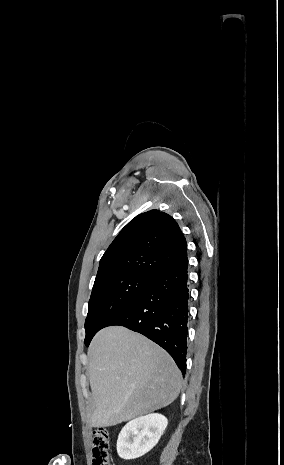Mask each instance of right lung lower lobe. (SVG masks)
I'll list each match as a JSON object with an SVG mask.
<instances>
[{"label": "right lung lower lobe", "mask_w": 284, "mask_h": 465, "mask_svg": "<svg viewBox=\"0 0 284 465\" xmlns=\"http://www.w3.org/2000/svg\"><path fill=\"white\" fill-rule=\"evenodd\" d=\"M187 271L185 258L161 272L104 326L120 325L148 337L172 356L182 374L188 336Z\"/></svg>", "instance_id": "1"}]
</instances>
